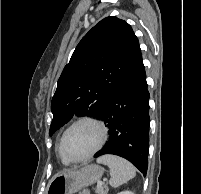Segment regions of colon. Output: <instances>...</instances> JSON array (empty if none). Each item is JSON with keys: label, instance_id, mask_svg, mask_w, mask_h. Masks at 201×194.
I'll return each instance as SVG.
<instances>
[{"label": "colon", "instance_id": "5ec220e1", "mask_svg": "<svg viewBox=\"0 0 201 194\" xmlns=\"http://www.w3.org/2000/svg\"><path fill=\"white\" fill-rule=\"evenodd\" d=\"M81 194H88V192L87 191H83Z\"/></svg>", "mask_w": 201, "mask_h": 194}]
</instances>
